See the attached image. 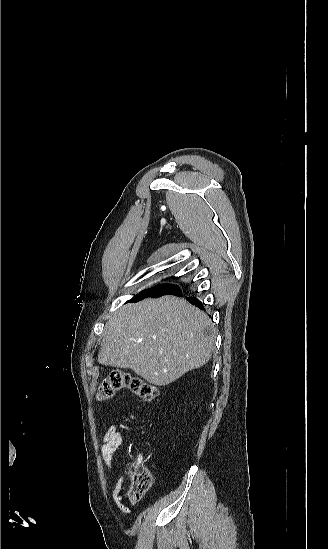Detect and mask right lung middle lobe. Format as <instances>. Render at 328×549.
<instances>
[{
    "label": "right lung middle lobe",
    "instance_id": "1",
    "mask_svg": "<svg viewBox=\"0 0 328 549\" xmlns=\"http://www.w3.org/2000/svg\"><path fill=\"white\" fill-rule=\"evenodd\" d=\"M167 294L180 295L181 292L178 286L159 284L152 288L142 291L141 293L134 296L130 301L137 302L147 297H160Z\"/></svg>",
    "mask_w": 328,
    "mask_h": 549
}]
</instances>
